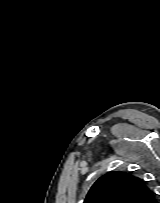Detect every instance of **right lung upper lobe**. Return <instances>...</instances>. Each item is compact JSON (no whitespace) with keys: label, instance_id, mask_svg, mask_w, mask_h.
Returning a JSON list of instances; mask_svg holds the SVG:
<instances>
[{"label":"right lung upper lobe","instance_id":"right-lung-upper-lobe-1","mask_svg":"<svg viewBox=\"0 0 160 203\" xmlns=\"http://www.w3.org/2000/svg\"><path fill=\"white\" fill-rule=\"evenodd\" d=\"M157 203L144 182L124 172H109L100 177L84 203Z\"/></svg>","mask_w":160,"mask_h":203}]
</instances>
